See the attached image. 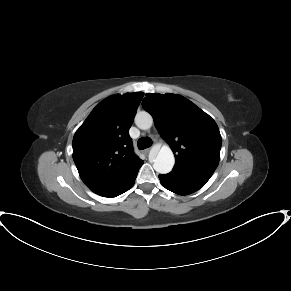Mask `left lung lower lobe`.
I'll list each match as a JSON object with an SVG mask.
<instances>
[{
    "label": "left lung lower lobe",
    "instance_id": "1",
    "mask_svg": "<svg viewBox=\"0 0 291 291\" xmlns=\"http://www.w3.org/2000/svg\"><path fill=\"white\" fill-rule=\"evenodd\" d=\"M162 186L179 195L191 194L203 187L209 178L191 176L171 171L159 175Z\"/></svg>",
    "mask_w": 291,
    "mask_h": 291
}]
</instances>
